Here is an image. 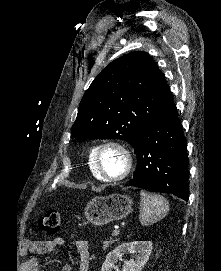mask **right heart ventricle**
Returning a JSON list of instances; mask_svg holds the SVG:
<instances>
[{"label":"right heart ventricle","instance_id":"e07e8e85","mask_svg":"<svg viewBox=\"0 0 221 271\" xmlns=\"http://www.w3.org/2000/svg\"><path fill=\"white\" fill-rule=\"evenodd\" d=\"M89 150V149H88ZM92 152L95 150L93 147L90 149ZM87 162L90 163V167L87 168L88 175L92 177V179H97V183H107V178H101V174L98 172L99 162L97 158H88Z\"/></svg>","mask_w":221,"mask_h":271}]
</instances>
